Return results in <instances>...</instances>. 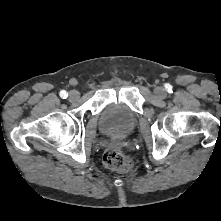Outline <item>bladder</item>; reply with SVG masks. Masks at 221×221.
<instances>
[{"instance_id":"obj_1","label":"bladder","mask_w":221,"mask_h":221,"mask_svg":"<svg viewBox=\"0 0 221 221\" xmlns=\"http://www.w3.org/2000/svg\"><path fill=\"white\" fill-rule=\"evenodd\" d=\"M135 125L134 112L123 104L107 105L99 119L100 130L108 135L127 134L134 129Z\"/></svg>"}]
</instances>
